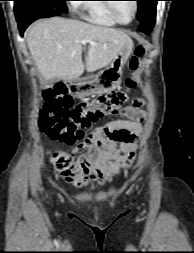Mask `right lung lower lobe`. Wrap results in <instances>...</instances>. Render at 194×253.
<instances>
[{
    "label": "right lung lower lobe",
    "mask_w": 194,
    "mask_h": 253,
    "mask_svg": "<svg viewBox=\"0 0 194 253\" xmlns=\"http://www.w3.org/2000/svg\"><path fill=\"white\" fill-rule=\"evenodd\" d=\"M62 13L63 12L57 9H51V10L41 9L31 17L28 15H22V16L16 17L20 34L23 35L24 30L27 28V26L31 24L33 21H35L36 19L52 17V16L60 15Z\"/></svg>",
    "instance_id": "obj_1"
}]
</instances>
